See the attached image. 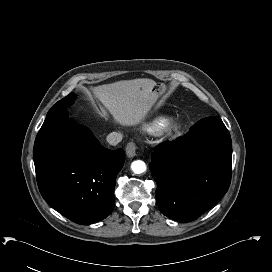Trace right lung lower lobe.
<instances>
[{"label": "right lung lower lobe", "mask_w": 272, "mask_h": 272, "mask_svg": "<svg viewBox=\"0 0 272 272\" xmlns=\"http://www.w3.org/2000/svg\"><path fill=\"white\" fill-rule=\"evenodd\" d=\"M33 157L44 200L77 224L106 218L124 150H108L85 129L69 123L67 107L47 115L37 134Z\"/></svg>", "instance_id": "1"}]
</instances>
